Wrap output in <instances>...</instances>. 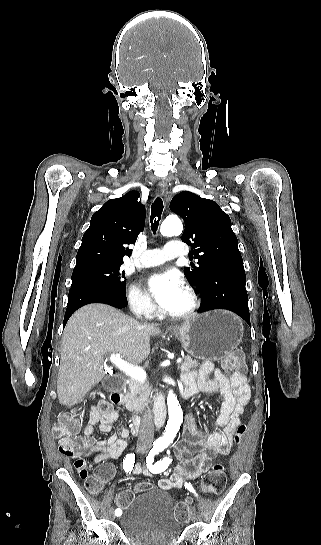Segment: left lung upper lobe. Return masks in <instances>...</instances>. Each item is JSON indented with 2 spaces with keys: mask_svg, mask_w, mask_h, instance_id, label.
Here are the masks:
<instances>
[{
  "mask_svg": "<svg viewBox=\"0 0 321 545\" xmlns=\"http://www.w3.org/2000/svg\"><path fill=\"white\" fill-rule=\"evenodd\" d=\"M170 209L184 219L182 241L192 246L190 254L198 259L197 264L184 268L196 287L219 266L243 262L231 220L216 202L183 191L172 199Z\"/></svg>",
  "mask_w": 321,
  "mask_h": 545,
  "instance_id": "left-lung-upper-lobe-1",
  "label": "left lung upper lobe"
}]
</instances>
